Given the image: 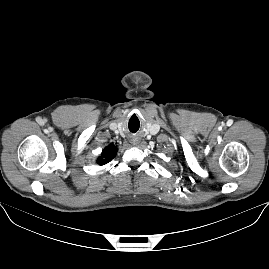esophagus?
<instances>
[{
    "label": "esophagus",
    "mask_w": 269,
    "mask_h": 269,
    "mask_svg": "<svg viewBox=\"0 0 269 269\" xmlns=\"http://www.w3.org/2000/svg\"><path fill=\"white\" fill-rule=\"evenodd\" d=\"M133 146H138L140 143V140H134L131 142Z\"/></svg>",
    "instance_id": "34e87169"
}]
</instances>
